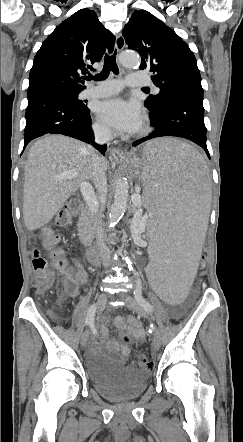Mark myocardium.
Here are the masks:
<instances>
[{"label":"myocardium","mask_w":243,"mask_h":442,"mask_svg":"<svg viewBox=\"0 0 243 442\" xmlns=\"http://www.w3.org/2000/svg\"><path fill=\"white\" fill-rule=\"evenodd\" d=\"M148 123L145 121L140 128L138 129V134L142 135L145 134L148 131Z\"/></svg>","instance_id":"1"}]
</instances>
